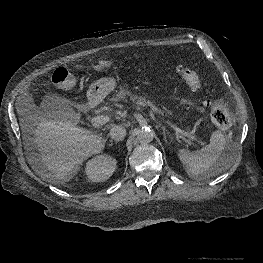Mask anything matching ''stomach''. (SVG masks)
<instances>
[{
	"label": "stomach",
	"mask_w": 263,
	"mask_h": 263,
	"mask_svg": "<svg viewBox=\"0 0 263 263\" xmlns=\"http://www.w3.org/2000/svg\"><path fill=\"white\" fill-rule=\"evenodd\" d=\"M116 81L112 77L100 78L94 82L87 91V97L90 102H97L105 98L111 91L114 90ZM116 99H120L118 96Z\"/></svg>",
	"instance_id": "stomach-1"
}]
</instances>
